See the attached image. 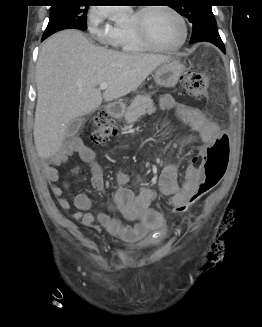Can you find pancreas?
Returning a JSON list of instances; mask_svg holds the SVG:
<instances>
[{
  "instance_id": "obj_1",
  "label": "pancreas",
  "mask_w": 262,
  "mask_h": 327,
  "mask_svg": "<svg viewBox=\"0 0 262 327\" xmlns=\"http://www.w3.org/2000/svg\"><path fill=\"white\" fill-rule=\"evenodd\" d=\"M153 100L150 95H138L124 112L127 124H132L140 119L143 115L155 113Z\"/></svg>"
}]
</instances>
